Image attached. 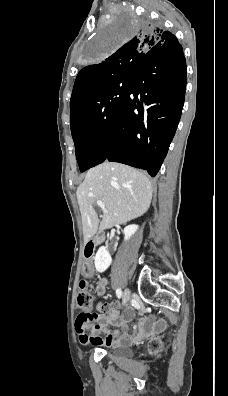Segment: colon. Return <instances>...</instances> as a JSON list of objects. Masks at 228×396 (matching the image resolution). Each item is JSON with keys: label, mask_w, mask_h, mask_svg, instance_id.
<instances>
[{"label": "colon", "mask_w": 228, "mask_h": 396, "mask_svg": "<svg viewBox=\"0 0 228 396\" xmlns=\"http://www.w3.org/2000/svg\"><path fill=\"white\" fill-rule=\"evenodd\" d=\"M92 305L93 297L91 294V290L85 281H81L77 294V306L80 308L81 313L77 317V324L84 330L95 318V313L92 312ZM152 348L155 352H158L161 349V345L160 343L155 341L152 343Z\"/></svg>", "instance_id": "1"}]
</instances>
